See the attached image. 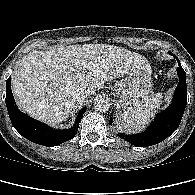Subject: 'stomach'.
I'll use <instances>...</instances> for the list:
<instances>
[{"label":"stomach","instance_id":"stomach-1","mask_svg":"<svg viewBox=\"0 0 195 195\" xmlns=\"http://www.w3.org/2000/svg\"><path fill=\"white\" fill-rule=\"evenodd\" d=\"M151 67L147 60L134 64L125 78L113 87L114 95L124 111L143 105L152 92Z\"/></svg>","mask_w":195,"mask_h":195}]
</instances>
